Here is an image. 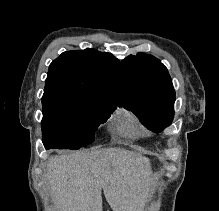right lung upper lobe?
<instances>
[{"mask_svg":"<svg viewBox=\"0 0 219 211\" xmlns=\"http://www.w3.org/2000/svg\"><path fill=\"white\" fill-rule=\"evenodd\" d=\"M121 105L119 60L95 49L63 52L49 66L43 97Z\"/></svg>","mask_w":219,"mask_h":211,"instance_id":"1","label":"right lung upper lobe"}]
</instances>
